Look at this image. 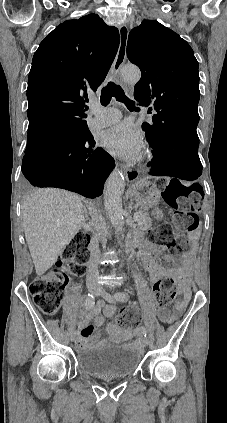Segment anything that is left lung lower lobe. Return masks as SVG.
Instances as JSON below:
<instances>
[{
	"instance_id": "left-lung-lower-lobe-1",
	"label": "left lung lower lobe",
	"mask_w": 227,
	"mask_h": 423,
	"mask_svg": "<svg viewBox=\"0 0 227 423\" xmlns=\"http://www.w3.org/2000/svg\"><path fill=\"white\" fill-rule=\"evenodd\" d=\"M198 121L183 120L165 127H154L146 137L154 151L150 174L196 180L202 174L198 156Z\"/></svg>"
}]
</instances>
